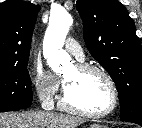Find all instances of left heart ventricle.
I'll return each instance as SVG.
<instances>
[{"instance_id":"left-heart-ventricle-1","label":"left heart ventricle","mask_w":142,"mask_h":128,"mask_svg":"<svg viewBox=\"0 0 142 128\" xmlns=\"http://www.w3.org/2000/svg\"><path fill=\"white\" fill-rule=\"evenodd\" d=\"M68 101L87 112H103L112 103V92L106 79L99 73H84L76 67L64 75Z\"/></svg>"}]
</instances>
